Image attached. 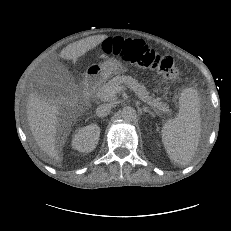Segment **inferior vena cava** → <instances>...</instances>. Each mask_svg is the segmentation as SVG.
Instances as JSON below:
<instances>
[{
    "label": "inferior vena cava",
    "mask_w": 231,
    "mask_h": 231,
    "mask_svg": "<svg viewBox=\"0 0 231 231\" xmlns=\"http://www.w3.org/2000/svg\"><path fill=\"white\" fill-rule=\"evenodd\" d=\"M111 111V105L110 104H102V105H99L97 108H96V115L98 117H105L107 116Z\"/></svg>",
    "instance_id": "inferior-vena-cava-1"
}]
</instances>
